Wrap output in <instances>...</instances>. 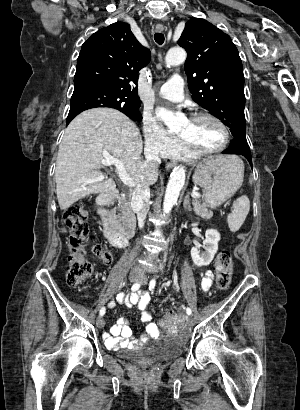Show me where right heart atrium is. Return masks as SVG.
Masks as SVG:
<instances>
[{
	"label": "right heart atrium",
	"mask_w": 300,
	"mask_h": 410,
	"mask_svg": "<svg viewBox=\"0 0 300 410\" xmlns=\"http://www.w3.org/2000/svg\"><path fill=\"white\" fill-rule=\"evenodd\" d=\"M142 130L145 149L149 154L167 157L179 145L176 137L150 117L144 116Z\"/></svg>",
	"instance_id": "obj_1"
}]
</instances>
